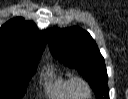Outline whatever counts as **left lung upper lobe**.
<instances>
[{
  "mask_svg": "<svg viewBox=\"0 0 128 99\" xmlns=\"http://www.w3.org/2000/svg\"><path fill=\"white\" fill-rule=\"evenodd\" d=\"M52 55L61 63L76 68L89 82L97 99H109L104 58L90 34L79 27L47 31Z\"/></svg>",
  "mask_w": 128,
  "mask_h": 99,
  "instance_id": "left-lung-upper-lobe-1",
  "label": "left lung upper lobe"
}]
</instances>
